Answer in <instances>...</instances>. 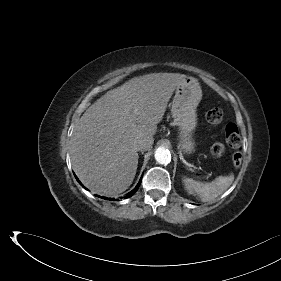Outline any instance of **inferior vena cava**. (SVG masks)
<instances>
[{
	"label": "inferior vena cava",
	"instance_id": "1",
	"mask_svg": "<svg viewBox=\"0 0 281 281\" xmlns=\"http://www.w3.org/2000/svg\"><path fill=\"white\" fill-rule=\"evenodd\" d=\"M153 144V138H143L137 141V149L140 151L149 149Z\"/></svg>",
	"mask_w": 281,
	"mask_h": 281
}]
</instances>
